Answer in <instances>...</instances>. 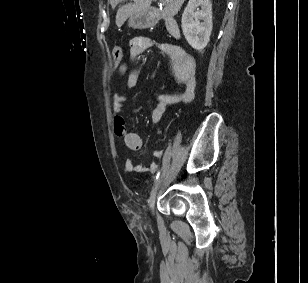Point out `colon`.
I'll list each match as a JSON object with an SVG mask.
<instances>
[{
    "instance_id": "5ec220e1",
    "label": "colon",
    "mask_w": 308,
    "mask_h": 283,
    "mask_svg": "<svg viewBox=\"0 0 308 283\" xmlns=\"http://www.w3.org/2000/svg\"><path fill=\"white\" fill-rule=\"evenodd\" d=\"M112 55H113L114 62L116 64L121 63V61L123 59V50H122V48L119 47V46L114 47L113 51H112Z\"/></svg>"
}]
</instances>
